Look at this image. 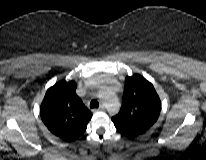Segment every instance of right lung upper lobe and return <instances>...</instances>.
Returning <instances> with one entry per match:
<instances>
[{
  "label": "right lung upper lobe",
  "instance_id": "cb5924a9",
  "mask_svg": "<svg viewBox=\"0 0 206 160\" xmlns=\"http://www.w3.org/2000/svg\"><path fill=\"white\" fill-rule=\"evenodd\" d=\"M74 81L62 80L50 87L40 106V116L55 136L72 141L82 135L92 113L76 94Z\"/></svg>",
  "mask_w": 206,
  "mask_h": 160
}]
</instances>
